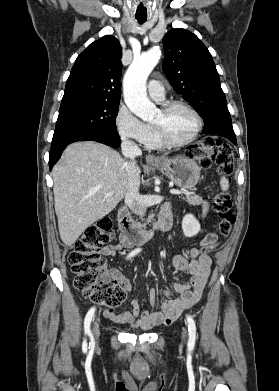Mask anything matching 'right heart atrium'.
<instances>
[{
  "label": "right heart atrium",
  "mask_w": 279,
  "mask_h": 391,
  "mask_svg": "<svg viewBox=\"0 0 279 391\" xmlns=\"http://www.w3.org/2000/svg\"><path fill=\"white\" fill-rule=\"evenodd\" d=\"M116 129L123 140L145 143L148 139L149 125L141 121L127 106L121 105L115 117Z\"/></svg>",
  "instance_id": "obj_1"
}]
</instances>
